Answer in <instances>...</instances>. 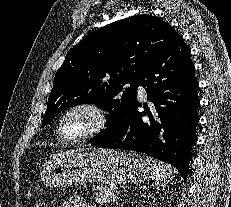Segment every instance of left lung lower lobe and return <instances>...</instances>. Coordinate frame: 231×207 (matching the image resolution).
I'll return each instance as SVG.
<instances>
[{
    "instance_id": "left-lung-lower-lobe-1",
    "label": "left lung lower lobe",
    "mask_w": 231,
    "mask_h": 207,
    "mask_svg": "<svg viewBox=\"0 0 231 207\" xmlns=\"http://www.w3.org/2000/svg\"><path fill=\"white\" fill-rule=\"evenodd\" d=\"M190 57L191 51L180 37L149 61L138 85L146 87L154 107L139 112L141 104L136 101L122 116L118 128L91 140L92 145L145 153L172 164L187 180L200 104L199 83Z\"/></svg>"
}]
</instances>
